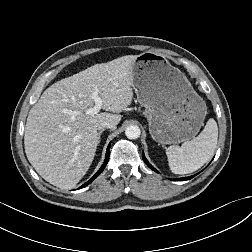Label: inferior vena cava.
Masks as SVG:
<instances>
[{
  "instance_id": "inferior-vena-cava-1",
  "label": "inferior vena cava",
  "mask_w": 252,
  "mask_h": 252,
  "mask_svg": "<svg viewBox=\"0 0 252 252\" xmlns=\"http://www.w3.org/2000/svg\"><path fill=\"white\" fill-rule=\"evenodd\" d=\"M116 126L113 124V123H110V122H107V121H104L102 123H100L98 125V129L99 130H102L104 128H110V129H114Z\"/></svg>"
}]
</instances>
